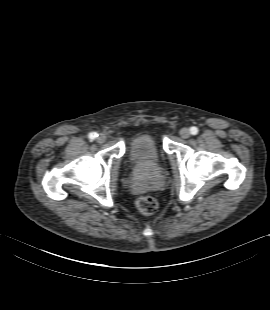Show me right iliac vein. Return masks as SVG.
<instances>
[{
    "mask_svg": "<svg viewBox=\"0 0 270 310\" xmlns=\"http://www.w3.org/2000/svg\"><path fill=\"white\" fill-rule=\"evenodd\" d=\"M98 143H103L106 140V136L104 134H99L96 138Z\"/></svg>",
    "mask_w": 270,
    "mask_h": 310,
    "instance_id": "1",
    "label": "right iliac vein"
}]
</instances>
